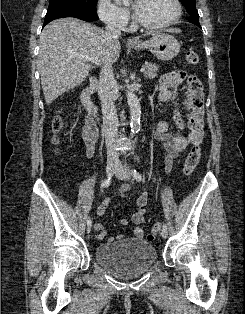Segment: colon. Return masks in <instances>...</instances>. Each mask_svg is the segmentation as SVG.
<instances>
[{"mask_svg": "<svg viewBox=\"0 0 245 314\" xmlns=\"http://www.w3.org/2000/svg\"><path fill=\"white\" fill-rule=\"evenodd\" d=\"M186 64L196 65L199 62V56L196 52L190 51L186 55ZM66 126L65 120L61 114H58L53 120V132L54 142L59 143L61 133L64 131ZM201 158V148L199 145H194L189 151L183 166V173L189 176L193 173L197 167ZM161 230V223H155L150 233L147 235V240L152 241L157 233Z\"/></svg>", "mask_w": 245, "mask_h": 314, "instance_id": "colon-1", "label": "colon"}]
</instances>
